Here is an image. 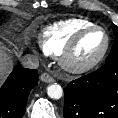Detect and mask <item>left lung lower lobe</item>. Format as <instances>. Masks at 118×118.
Wrapping results in <instances>:
<instances>
[{"instance_id": "obj_1", "label": "left lung lower lobe", "mask_w": 118, "mask_h": 118, "mask_svg": "<svg viewBox=\"0 0 118 118\" xmlns=\"http://www.w3.org/2000/svg\"><path fill=\"white\" fill-rule=\"evenodd\" d=\"M64 118H118V61L71 81Z\"/></svg>"}]
</instances>
